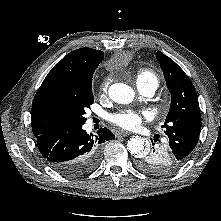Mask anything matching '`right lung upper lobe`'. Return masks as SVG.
I'll return each instance as SVG.
<instances>
[{
	"mask_svg": "<svg viewBox=\"0 0 221 221\" xmlns=\"http://www.w3.org/2000/svg\"><path fill=\"white\" fill-rule=\"evenodd\" d=\"M103 57L104 53L100 50L80 48L70 52L51 69L32 104V130L36 138L70 130L56 114L54 98L71 90L83 73L98 67Z\"/></svg>",
	"mask_w": 221,
	"mask_h": 221,
	"instance_id": "right-lung-upper-lobe-1",
	"label": "right lung upper lobe"
}]
</instances>
